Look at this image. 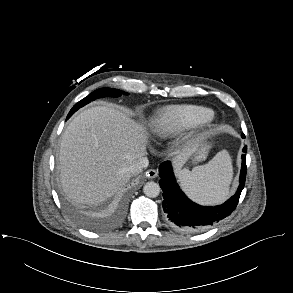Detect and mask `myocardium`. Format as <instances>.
<instances>
[{
	"instance_id": "f54148a6",
	"label": "myocardium",
	"mask_w": 293,
	"mask_h": 293,
	"mask_svg": "<svg viewBox=\"0 0 293 293\" xmlns=\"http://www.w3.org/2000/svg\"><path fill=\"white\" fill-rule=\"evenodd\" d=\"M211 120H212V119H210V120H208V121H206V122H210ZM206 122H205V123H206Z\"/></svg>"
}]
</instances>
